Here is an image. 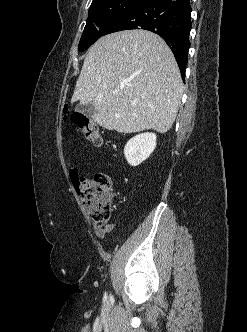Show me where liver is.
Wrapping results in <instances>:
<instances>
[{"instance_id":"1","label":"liver","mask_w":247,"mask_h":332,"mask_svg":"<svg viewBox=\"0 0 247 332\" xmlns=\"http://www.w3.org/2000/svg\"><path fill=\"white\" fill-rule=\"evenodd\" d=\"M182 95L180 71L165 41L150 31L125 30L89 49L71 102L92 104L93 120L107 130L165 133Z\"/></svg>"}]
</instances>
